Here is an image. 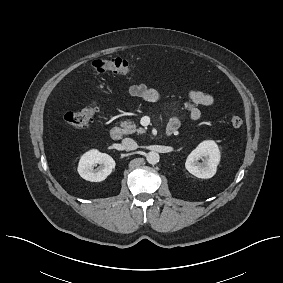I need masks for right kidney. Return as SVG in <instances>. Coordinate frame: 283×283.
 Here are the masks:
<instances>
[{
    "label": "right kidney",
    "instance_id": "1",
    "mask_svg": "<svg viewBox=\"0 0 283 283\" xmlns=\"http://www.w3.org/2000/svg\"><path fill=\"white\" fill-rule=\"evenodd\" d=\"M100 166L94 169V166ZM115 168V161L111 156L98 150L86 152L80 159L78 165L79 175L91 182H100L107 178Z\"/></svg>",
    "mask_w": 283,
    "mask_h": 283
}]
</instances>
